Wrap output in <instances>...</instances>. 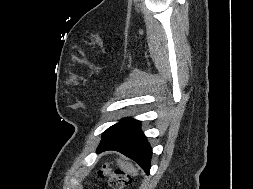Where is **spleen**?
Returning <instances> with one entry per match:
<instances>
[{"label":"spleen","instance_id":"obj_1","mask_svg":"<svg viewBox=\"0 0 253 189\" xmlns=\"http://www.w3.org/2000/svg\"><path fill=\"white\" fill-rule=\"evenodd\" d=\"M117 164L120 167V169L123 170L124 172H126L127 174H130V175H133V176L138 175L137 169L128 160L118 159Z\"/></svg>","mask_w":253,"mask_h":189}]
</instances>
